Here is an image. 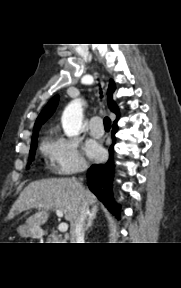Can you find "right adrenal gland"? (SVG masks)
<instances>
[{
	"label": "right adrenal gland",
	"instance_id": "obj_1",
	"mask_svg": "<svg viewBox=\"0 0 181 288\" xmlns=\"http://www.w3.org/2000/svg\"><path fill=\"white\" fill-rule=\"evenodd\" d=\"M97 212H98V209L93 207L91 210V213L89 214L87 225L85 227V232H87L88 229L93 225V222H94V219L96 218Z\"/></svg>",
	"mask_w": 181,
	"mask_h": 288
}]
</instances>
